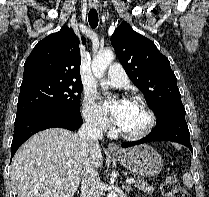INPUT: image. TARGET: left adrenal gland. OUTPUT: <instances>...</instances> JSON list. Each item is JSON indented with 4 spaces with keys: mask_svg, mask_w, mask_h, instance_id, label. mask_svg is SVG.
<instances>
[{
    "mask_svg": "<svg viewBox=\"0 0 209 197\" xmlns=\"http://www.w3.org/2000/svg\"><path fill=\"white\" fill-rule=\"evenodd\" d=\"M123 188H125V190H126L127 192H130L131 190H133L130 186H125V185H123Z\"/></svg>",
    "mask_w": 209,
    "mask_h": 197,
    "instance_id": "left-adrenal-gland-1",
    "label": "left adrenal gland"
}]
</instances>
